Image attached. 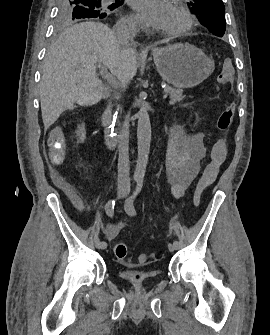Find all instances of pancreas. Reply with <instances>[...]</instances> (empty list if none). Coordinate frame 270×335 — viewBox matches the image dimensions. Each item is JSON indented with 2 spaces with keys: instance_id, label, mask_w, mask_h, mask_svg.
<instances>
[{
  "instance_id": "cf45deb5",
  "label": "pancreas",
  "mask_w": 270,
  "mask_h": 335,
  "mask_svg": "<svg viewBox=\"0 0 270 335\" xmlns=\"http://www.w3.org/2000/svg\"><path fill=\"white\" fill-rule=\"evenodd\" d=\"M165 90L167 94H170V106L177 104V102H181V100L185 98V96H183V90H176V88H169V86H166Z\"/></svg>"
}]
</instances>
